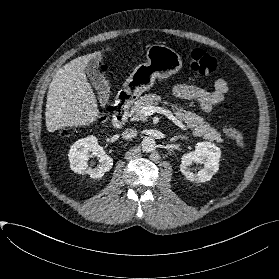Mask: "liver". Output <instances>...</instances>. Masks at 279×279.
<instances>
[{
    "instance_id": "obj_1",
    "label": "liver",
    "mask_w": 279,
    "mask_h": 279,
    "mask_svg": "<svg viewBox=\"0 0 279 279\" xmlns=\"http://www.w3.org/2000/svg\"><path fill=\"white\" fill-rule=\"evenodd\" d=\"M98 54L101 52L75 58L56 73L47 94L45 117L48 132L88 126L101 117L85 74L88 62Z\"/></svg>"
}]
</instances>
